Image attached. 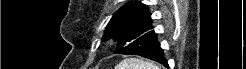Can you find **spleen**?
Masks as SVG:
<instances>
[{
  "mask_svg": "<svg viewBox=\"0 0 246 69\" xmlns=\"http://www.w3.org/2000/svg\"><path fill=\"white\" fill-rule=\"evenodd\" d=\"M116 69H160L157 65L142 59L128 58L121 61Z\"/></svg>",
  "mask_w": 246,
  "mask_h": 69,
  "instance_id": "spleen-1",
  "label": "spleen"
}]
</instances>
